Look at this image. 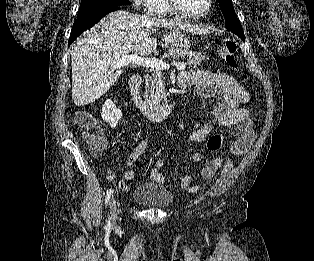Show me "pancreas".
Instances as JSON below:
<instances>
[{"label": "pancreas", "mask_w": 314, "mask_h": 261, "mask_svg": "<svg viewBox=\"0 0 314 261\" xmlns=\"http://www.w3.org/2000/svg\"><path fill=\"white\" fill-rule=\"evenodd\" d=\"M167 48L165 58L187 59L189 67H197L205 60V56L199 52L185 51L173 46ZM145 89V98L149 102L160 103L166 97L162 70H151V75L145 76Z\"/></svg>", "instance_id": "obj_1"}]
</instances>
